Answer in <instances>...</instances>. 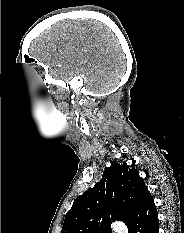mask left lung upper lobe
Returning <instances> with one entry per match:
<instances>
[{
    "label": "left lung upper lobe",
    "instance_id": "obj_1",
    "mask_svg": "<svg viewBox=\"0 0 184 233\" xmlns=\"http://www.w3.org/2000/svg\"><path fill=\"white\" fill-rule=\"evenodd\" d=\"M147 192L136 169L113 162L100 182L75 199L61 233H112L111 223L126 224Z\"/></svg>",
    "mask_w": 184,
    "mask_h": 233
}]
</instances>
